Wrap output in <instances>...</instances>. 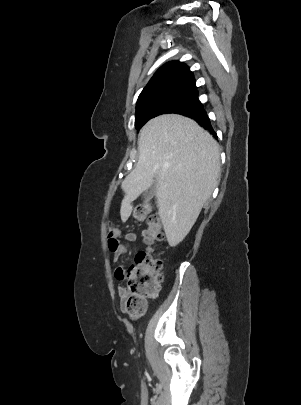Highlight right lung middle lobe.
Listing matches in <instances>:
<instances>
[{
  "instance_id": "1",
  "label": "right lung middle lobe",
  "mask_w": 301,
  "mask_h": 405,
  "mask_svg": "<svg viewBox=\"0 0 301 405\" xmlns=\"http://www.w3.org/2000/svg\"><path fill=\"white\" fill-rule=\"evenodd\" d=\"M198 92L190 89H174L151 95L136 106L135 127L141 129L151 118L165 113H182L202 109Z\"/></svg>"
}]
</instances>
